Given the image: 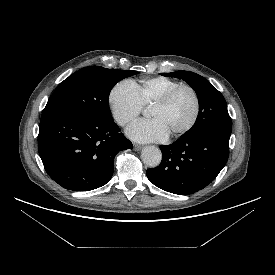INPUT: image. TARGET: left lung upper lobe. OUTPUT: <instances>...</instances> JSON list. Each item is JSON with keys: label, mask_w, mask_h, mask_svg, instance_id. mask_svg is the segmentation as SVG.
I'll use <instances>...</instances> for the list:
<instances>
[{"label": "left lung upper lobe", "mask_w": 275, "mask_h": 275, "mask_svg": "<svg viewBox=\"0 0 275 275\" xmlns=\"http://www.w3.org/2000/svg\"><path fill=\"white\" fill-rule=\"evenodd\" d=\"M163 76L182 78L196 92L199 101V116L196 124L184 135L197 133H229L232 122L223 95L204 77L190 72L161 73Z\"/></svg>", "instance_id": "obj_1"}]
</instances>
